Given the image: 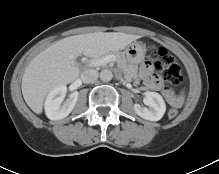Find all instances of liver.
Segmentation results:
<instances>
[{
  "mask_svg": "<svg viewBox=\"0 0 219 174\" xmlns=\"http://www.w3.org/2000/svg\"><path fill=\"white\" fill-rule=\"evenodd\" d=\"M139 38L138 35L121 32H95L59 40L39 53L27 66L21 84L26 104L36 114H41L48 93L78 77L77 57H98L109 51L122 50Z\"/></svg>",
  "mask_w": 219,
  "mask_h": 174,
  "instance_id": "6515ba94",
  "label": "liver"
}]
</instances>
